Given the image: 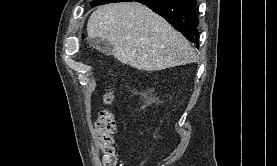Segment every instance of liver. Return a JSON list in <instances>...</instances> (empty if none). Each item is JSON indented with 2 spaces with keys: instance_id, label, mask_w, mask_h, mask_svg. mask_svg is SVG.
Returning <instances> with one entry per match:
<instances>
[{
  "instance_id": "1",
  "label": "liver",
  "mask_w": 277,
  "mask_h": 166,
  "mask_svg": "<svg viewBox=\"0 0 277 166\" xmlns=\"http://www.w3.org/2000/svg\"><path fill=\"white\" fill-rule=\"evenodd\" d=\"M87 34L109 41L118 61L139 70L159 71L197 60L189 41L140 3L100 6L88 20Z\"/></svg>"
}]
</instances>
